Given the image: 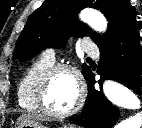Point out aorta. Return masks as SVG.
Returning <instances> with one entry per match:
<instances>
[{
  "label": "aorta",
  "mask_w": 142,
  "mask_h": 128,
  "mask_svg": "<svg viewBox=\"0 0 142 128\" xmlns=\"http://www.w3.org/2000/svg\"><path fill=\"white\" fill-rule=\"evenodd\" d=\"M80 19L95 31L105 32L107 29V20L99 11L85 9L80 13ZM103 91L106 98L118 107L126 109H139L141 107L139 98L119 83L107 80L103 84ZM141 126L142 112H139L121 121L117 128H140Z\"/></svg>",
  "instance_id": "1"
}]
</instances>
